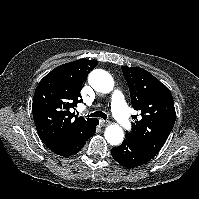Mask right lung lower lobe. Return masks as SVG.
I'll use <instances>...</instances> for the list:
<instances>
[{
    "mask_svg": "<svg viewBox=\"0 0 199 199\" xmlns=\"http://www.w3.org/2000/svg\"><path fill=\"white\" fill-rule=\"evenodd\" d=\"M98 122L96 119L83 132L75 136H52L47 139L41 138V140L52 152L64 157L71 156L78 153L86 141L95 134Z\"/></svg>",
    "mask_w": 199,
    "mask_h": 199,
    "instance_id": "98d812e1",
    "label": "right lung lower lobe"
}]
</instances>
